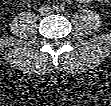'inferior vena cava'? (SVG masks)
<instances>
[{
	"label": "inferior vena cava",
	"mask_w": 111,
	"mask_h": 106,
	"mask_svg": "<svg viewBox=\"0 0 111 106\" xmlns=\"http://www.w3.org/2000/svg\"><path fill=\"white\" fill-rule=\"evenodd\" d=\"M43 11H49V8L41 7V12H43Z\"/></svg>",
	"instance_id": "inferior-vena-cava-1"
}]
</instances>
